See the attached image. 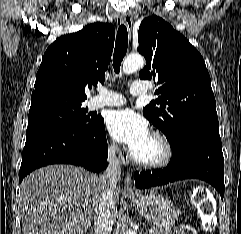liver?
Wrapping results in <instances>:
<instances>
[{
  "label": "liver",
  "instance_id": "liver-1",
  "mask_svg": "<svg viewBox=\"0 0 241 234\" xmlns=\"http://www.w3.org/2000/svg\"><path fill=\"white\" fill-rule=\"evenodd\" d=\"M120 189L114 199L119 201ZM23 234H85L102 201L100 176L72 165H49L21 183Z\"/></svg>",
  "mask_w": 241,
  "mask_h": 234
}]
</instances>
